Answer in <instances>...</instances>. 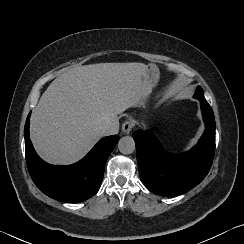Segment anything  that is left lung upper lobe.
Segmentation results:
<instances>
[{
	"instance_id": "left-lung-upper-lobe-1",
	"label": "left lung upper lobe",
	"mask_w": 244,
	"mask_h": 244,
	"mask_svg": "<svg viewBox=\"0 0 244 244\" xmlns=\"http://www.w3.org/2000/svg\"><path fill=\"white\" fill-rule=\"evenodd\" d=\"M195 98H197L199 101L203 100L204 103L209 106L208 102L206 101L204 94H203V89L199 86L195 92L194 95ZM212 117H213V113H212Z\"/></svg>"
}]
</instances>
